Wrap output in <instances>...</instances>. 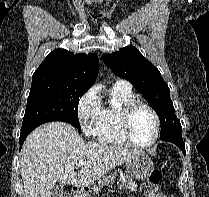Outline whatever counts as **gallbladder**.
Masks as SVG:
<instances>
[{
	"mask_svg": "<svg viewBox=\"0 0 209 197\" xmlns=\"http://www.w3.org/2000/svg\"><path fill=\"white\" fill-rule=\"evenodd\" d=\"M63 192V185H56L51 191L50 197H58Z\"/></svg>",
	"mask_w": 209,
	"mask_h": 197,
	"instance_id": "1",
	"label": "gallbladder"
}]
</instances>
